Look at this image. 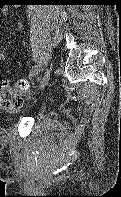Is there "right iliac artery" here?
<instances>
[{"label": "right iliac artery", "instance_id": "right-iliac-artery-1", "mask_svg": "<svg viewBox=\"0 0 121 197\" xmlns=\"http://www.w3.org/2000/svg\"><path fill=\"white\" fill-rule=\"evenodd\" d=\"M40 71H41V66H36V67L32 70V72L30 73L31 79L34 78V77H36V76H38L39 73H40Z\"/></svg>", "mask_w": 121, "mask_h": 197}]
</instances>
